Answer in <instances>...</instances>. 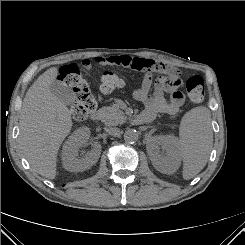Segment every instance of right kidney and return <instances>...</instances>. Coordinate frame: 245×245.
<instances>
[{
	"mask_svg": "<svg viewBox=\"0 0 245 245\" xmlns=\"http://www.w3.org/2000/svg\"><path fill=\"white\" fill-rule=\"evenodd\" d=\"M90 137V130L81 127L69 136L63 145L62 161L66 170L71 172H82L94 165L101 154V144L94 142L92 150L84 156L78 157L79 149L84 146Z\"/></svg>",
	"mask_w": 245,
	"mask_h": 245,
	"instance_id": "ca27d5eb",
	"label": "right kidney"
}]
</instances>
